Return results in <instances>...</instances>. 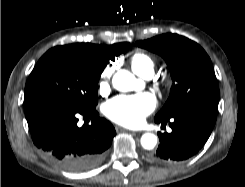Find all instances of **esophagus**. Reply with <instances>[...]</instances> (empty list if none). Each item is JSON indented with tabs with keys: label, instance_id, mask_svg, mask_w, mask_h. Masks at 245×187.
<instances>
[{
	"label": "esophagus",
	"instance_id": "34e87169",
	"mask_svg": "<svg viewBox=\"0 0 245 187\" xmlns=\"http://www.w3.org/2000/svg\"><path fill=\"white\" fill-rule=\"evenodd\" d=\"M117 131H125V132H130V133H137V131H131L122 127H116Z\"/></svg>",
	"mask_w": 245,
	"mask_h": 187
}]
</instances>
